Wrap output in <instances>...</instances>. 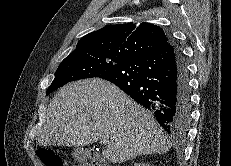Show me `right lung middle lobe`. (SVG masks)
Segmentation results:
<instances>
[{
    "mask_svg": "<svg viewBox=\"0 0 231 166\" xmlns=\"http://www.w3.org/2000/svg\"><path fill=\"white\" fill-rule=\"evenodd\" d=\"M124 61L122 57L106 55L91 49L74 51L60 63L46 94L48 95L69 82L97 77L112 66Z\"/></svg>",
    "mask_w": 231,
    "mask_h": 166,
    "instance_id": "right-lung-middle-lobe-1",
    "label": "right lung middle lobe"
}]
</instances>
